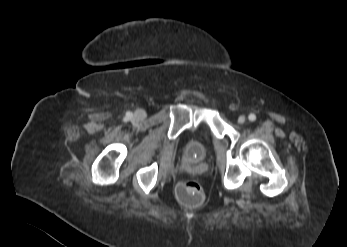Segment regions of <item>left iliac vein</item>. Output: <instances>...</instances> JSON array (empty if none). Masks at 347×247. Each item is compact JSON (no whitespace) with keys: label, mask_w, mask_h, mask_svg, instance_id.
Returning <instances> with one entry per match:
<instances>
[{"label":"left iliac vein","mask_w":347,"mask_h":247,"mask_svg":"<svg viewBox=\"0 0 347 247\" xmlns=\"http://www.w3.org/2000/svg\"><path fill=\"white\" fill-rule=\"evenodd\" d=\"M245 121H246L245 116H243V115L239 116V118H238V123H239V124H244Z\"/></svg>","instance_id":"4c4485c4"}]
</instances>
